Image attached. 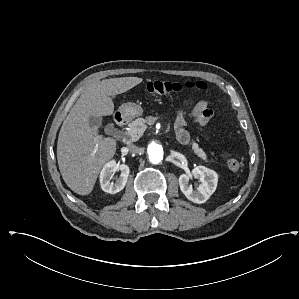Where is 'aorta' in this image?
I'll use <instances>...</instances> for the list:
<instances>
[{
    "label": "aorta",
    "instance_id": "aorta-1",
    "mask_svg": "<svg viewBox=\"0 0 299 299\" xmlns=\"http://www.w3.org/2000/svg\"><path fill=\"white\" fill-rule=\"evenodd\" d=\"M165 150L163 146L156 141L147 145V157L152 164H158L163 160Z\"/></svg>",
    "mask_w": 299,
    "mask_h": 299
}]
</instances>
